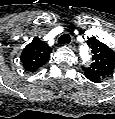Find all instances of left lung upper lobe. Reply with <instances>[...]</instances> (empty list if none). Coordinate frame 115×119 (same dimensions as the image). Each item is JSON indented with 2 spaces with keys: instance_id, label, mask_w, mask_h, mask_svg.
<instances>
[{
  "instance_id": "obj_1",
  "label": "left lung upper lobe",
  "mask_w": 115,
  "mask_h": 119,
  "mask_svg": "<svg viewBox=\"0 0 115 119\" xmlns=\"http://www.w3.org/2000/svg\"><path fill=\"white\" fill-rule=\"evenodd\" d=\"M87 44L92 49L93 62L89 67L83 68L85 74L93 75L101 79L111 76L115 68L114 51L95 37L89 38Z\"/></svg>"
}]
</instances>
